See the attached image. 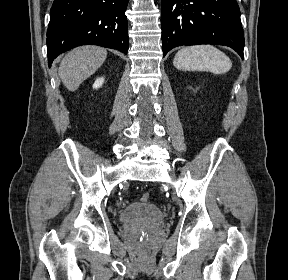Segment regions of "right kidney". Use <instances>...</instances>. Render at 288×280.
<instances>
[{
	"label": "right kidney",
	"mask_w": 288,
	"mask_h": 280,
	"mask_svg": "<svg viewBox=\"0 0 288 280\" xmlns=\"http://www.w3.org/2000/svg\"><path fill=\"white\" fill-rule=\"evenodd\" d=\"M103 83H104V78L103 77L98 78V79H96L95 83L93 84V88L94 89L100 88Z\"/></svg>",
	"instance_id": "right-kidney-1"
}]
</instances>
